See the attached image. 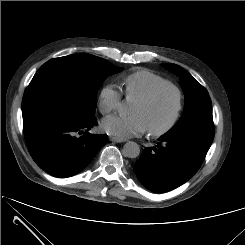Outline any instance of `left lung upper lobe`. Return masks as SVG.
Returning a JSON list of instances; mask_svg holds the SVG:
<instances>
[{
  "instance_id": "1",
  "label": "left lung upper lobe",
  "mask_w": 245,
  "mask_h": 245,
  "mask_svg": "<svg viewBox=\"0 0 245 245\" xmlns=\"http://www.w3.org/2000/svg\"><path fill=\"white\" fill-rule=\"evenodd\" d=\"M162 66L180 77V84L185 94L183 115L163 136L189 139L209 149L214 139V124L211 99L207 90L182 67L176 64H162Z\"/></svg>"
}]
</instances>
